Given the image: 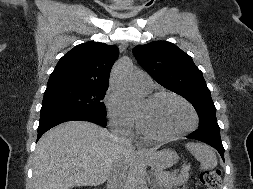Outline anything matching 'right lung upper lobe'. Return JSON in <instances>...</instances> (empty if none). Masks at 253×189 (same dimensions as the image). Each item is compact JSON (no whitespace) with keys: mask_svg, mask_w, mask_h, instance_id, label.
Segmentation results:
<instances>
[{"mask_svg":"<svg viewBox=\"0 0 253 189\" xmlns=\"http://www.w3.org/2000/svg\"><path fill=\"white\" fill-rule=\"evenodd\" d=\"M118 55L116 45L98 42L77 45L59 60L50 75L47 89L60 86L108 87L110 69Z\"/></svg>","mask_w":253,"mask_h":189,"instance_id":"1","label":"right lung upper lobe"}]
</instances>
